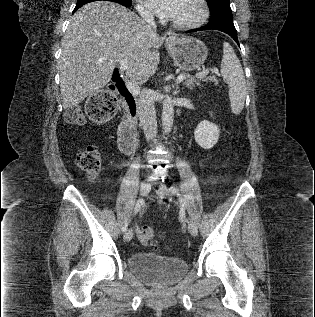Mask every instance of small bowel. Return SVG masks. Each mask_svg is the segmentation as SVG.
I'll return each mask as SVG.
<instances>
[{"label": "small bowel", "instance_id": "obj_1", "mask_svg": "<svg viewBox=\"0 0 315 317\" xmlns=\"http://www.w3.org/2000/svg\"><path fill=\"white\" fill-rule=\"evenodd\" d=\"M136 230H137L138 233H140V229H139L138 226H136Z\"/></svg>", "mask_w": 315, "mask_h": 317}]
</instances>
